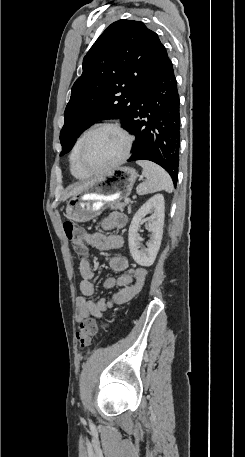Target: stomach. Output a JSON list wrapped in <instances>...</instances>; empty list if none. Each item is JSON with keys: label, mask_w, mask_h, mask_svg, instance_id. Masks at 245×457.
I'll use <instances>...</instances> for the list:
<instances>
[{"label": "stomach", "mask_w": 245, "mask_h": 457, "mask_svg": "<svg viewBox=\"0 0 245 457\" xmlns=\"http://www.w3.org/2000/svg\"><path fill=\"white\" fill-rule=\"evenodd\" d=\"M137 176L135 168L119 166L105 176L96 178L92 184H88L81 192H76L67 200V218L75 222L96 218L110 202H119L130 194Z\"/></svg>", "instance_id": "0dacf381"}]
</instances>
